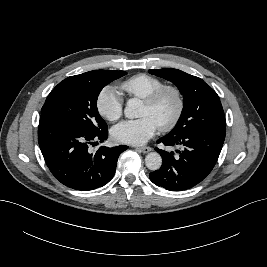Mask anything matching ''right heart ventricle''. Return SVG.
Instances as JSON below:
<instances>
[{
    "label": "right heart ventricle",
    "mask_w": 267,
    "mask_h": 267,
    "mask_svg": "<svg viewBox=\"0 0 267 267\" xmlns=\"http://www.w3.org/2000/svg\"><path fill=\"white\" fill-rule=\"evenodd\" d=\"M163 85L164 82L160 78L149 74L140 73L124 80L120 84V88L129 97L143 100Z\"/></svg>",
    "instance_id": "right-heart-ventricle-1"
}]
</instances>
